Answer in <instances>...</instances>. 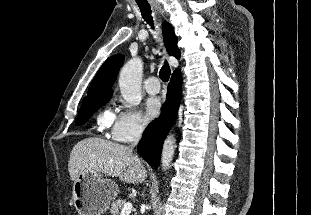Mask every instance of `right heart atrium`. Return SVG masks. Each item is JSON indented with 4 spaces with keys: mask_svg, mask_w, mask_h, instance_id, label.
<instances>
[{
    "mask_svg": "<svg viewBox=\"0 0 311 215\" xmlns=\"http://www.w3.org/2000/svg\"><path fill=\"white\" fill-rule=\"evenodd\" d=\"M99 123L109 129L108 135L116 142L129 143L138 140L145 131V124L135 110H119L101 115Z\"/></svg>",
    "mask_w": 311,
    "mask_h": 215,
    "instance_id": "1",
    "label": "right heart atrium"
}]
</instances>
